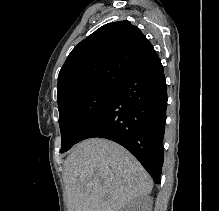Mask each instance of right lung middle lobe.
Wrapping results in <instances>:
<instances>
[{"label":"right lung middle lobe","mask_w":219,"mask_h":211,"mask_svg":"<svg viewBox=\"0 0 219 211\" xmlns=\"http://www.w3.org/2000/svg\"><path fill=\"white\" fill-rule=\"evenodd\" d=\"M117 85H96L58 102L62 135L60 152L76 144L79 135L103 109Z\"/></svg>","instance_id":"right-lung-middle-lobe-1"}]
</instances>
